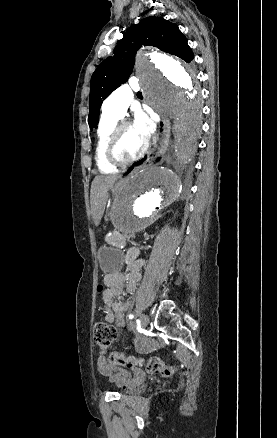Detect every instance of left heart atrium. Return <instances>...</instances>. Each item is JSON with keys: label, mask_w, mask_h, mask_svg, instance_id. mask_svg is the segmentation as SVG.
<instances>
[{"label": "left heart atrium", "mask_w": 277, "mask_h": 438, "mask_svg": "<svg viewBox=\"0 0 277 438\" xmlns=\"http://www.w3.org/2000/svg\"><path fill=\"white\" fill-rule=\"evenodd\" d=\"M133 127L142 142L145 144L153 130L151 121L146 116L137 114Z\"/></svg>", "instance_id": "1"}]
</instances>
